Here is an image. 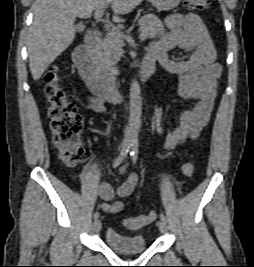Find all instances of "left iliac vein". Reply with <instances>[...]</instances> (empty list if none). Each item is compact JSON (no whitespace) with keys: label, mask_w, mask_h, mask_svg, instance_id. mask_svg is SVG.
Instances as JSON below:
<instances>
[{"label":"left iliac vein","mask_w":254,"mask_h":267,"mask_svg":"<svg viewBox=\"0 0 254 267\" xmlns=\"http://www.w3.org/2000/svg\"><path fill=\"white\" fill-rule=\"evenodd\" d=\"M157 225H158V228H159L161 233L165 234L168 232V226H167L166 222L160 220V221H158Z\"/></svg>","instance_id":"left-iliac-vein-1"}]
</instances>
